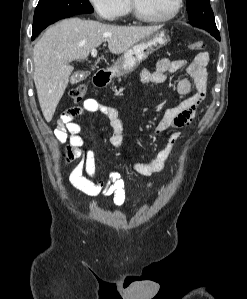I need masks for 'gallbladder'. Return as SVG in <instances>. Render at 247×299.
Returning <instances> with one entry per match:
<instances>
[{
    "label": "gallbladder",
    "mask_w": 247,
    "mask_h": 299,
    "mask_svg": "<svg viewBox=\"0 0 247 299\" xmlns=\"http://www.w3.org/2000/svg\"><path fill=\"white\" fill-rule=\"evenodd\" d=\"M80 79H81V78H80V74L77 73L76 75L72 76L71 81H72L73 83H75V82L79 81Z\"/></svg>",
    "instance_id": "bac80fb5"
}]
</instances>
